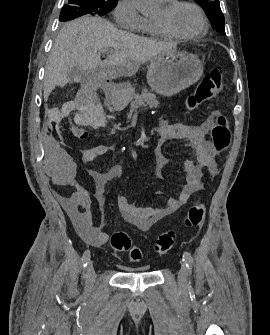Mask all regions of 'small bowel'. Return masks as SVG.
<instances>
[{"label": "small bowel", "instance_id": "c3829d8e", "mask_svg": "<svg viewBox=\"0 0 270 335\" xmlns=\"http://www.w3.org/2000/svg\"><path fill=\"white\" fill-rule=\"evenodd\" d=\"M211 119H207L199 125H185L182 123H169L162 121L158 125L159 140L154 151L156 167L155 174L160 176L163 168L168 164V158L161 152L164 143L170 140L186 139L195 151L197 162L186 159L182 163L185 173V185L176 197H169L161 207H137L131 204L124 195L117 196V205L123 219L142 232L149 231L155 224L164 218L171 216L184 206L190 197L203 187L202 178L204 171L215 176L218 173V165L213 157L212 145L206 138L210 128ZM47 134H61L62 128L59 121H50L46 128ZM47 158H41V165H47L44 178H65L61 183L74 187V192L62 199L65 210L72 220L80 235L93 245H102L107 242L108 234L99 230L93 223L92 204L98 205L100 215L103 214L106 199L107 185L119 178L123 173L120 163L114 164L106 171L96 168L89 170V175L94 183L93 196L88 190L76 183L74 178L80 177L76 171L77 158H68L65 147L56 144L52 135L45 139ZM107 145H96L85 150L81 155L83 163H91L96 159L110 153Z\"/></svg>", "mask_w": 270, "mask_h": 335}]
</instances>
